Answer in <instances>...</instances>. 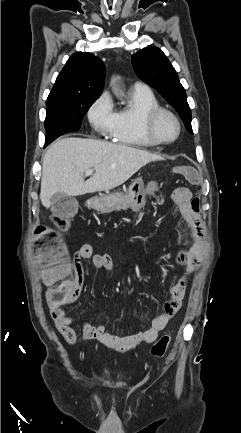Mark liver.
<instances>
[{
	"instance_id": "liver-1",
	"label": "liver",
	"mask_w": 241,
	"mask_h": 433,
	"mask_svg": "<svg viewBox=\"0 0 241 433\" xmlns=\"http://www.w3.org/2000/svg\"><path fill=\"white\" fill-rule=\"evenodd\" d=\"M161 156L125 145L93 139L65 138L51 144L43 156L40 199L44 207L58 193L79 196L120 186L146 164ZM94 175L84 180V173Z\"/></svg>"
}]
</instances>
